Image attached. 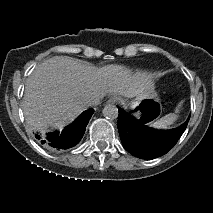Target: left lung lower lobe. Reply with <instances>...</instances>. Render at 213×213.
Listing matches in <instances>:
<instances>
[{
    "label": "left lung lower lobe",
    "mask_w": 213,
    "mask_h": 213,
    "mask_svg": "<svg viewBox=\"0 0 213 213\" xmlns=\"http://www.w3.org/2000/svg\"><path fill=\"white\" fill-rule=\"evenodd\" d=\"M147 120L139 121L119 109L117 127L122 144L132 155L142 159H154L166 154L176 144L186 129L189 119L180 127L169 131H157L147 126Z\"/></svg>",
    "instance_id": "left-lung-lower-lobe-1"
}]
</instances>
